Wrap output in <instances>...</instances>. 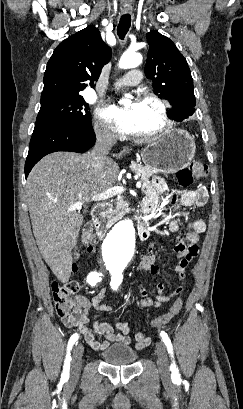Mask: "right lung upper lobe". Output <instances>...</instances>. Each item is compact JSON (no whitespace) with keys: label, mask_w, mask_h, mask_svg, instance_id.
<instances>
[{"label":"right lung upper lobe","mask_w":243,"mask_h":409,"mask_svg":"<svg viewBox=\"0 0 243 409\" xmlns=\"http://www.w3.org/2000/svg\"><path fill=\"white\" fill-rule=\"evenodd\" d=\"M111 58L99 30L90 25L61 42L44 73L41 101L78 96L88 82L93 84Z\"/></svg>","instance_id":"right-lung-upper-lobe-1"}]
</instances>
